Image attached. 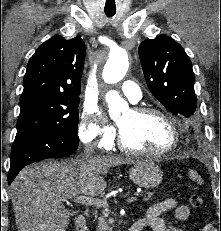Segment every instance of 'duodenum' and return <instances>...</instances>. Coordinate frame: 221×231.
Segmentation results:
<instances>
[{
  "label": "duodenum",
  "instance_id": "410a0bca",
  "mask_svg": "<svg viewBox=\"0 0 221 231\" xmlns=\"http://www.w3.org/2000/svg\"><path fill=\"white\" fill-rule=\"evenodd\" d=\"M75 227L77 231H86L87 230V221L86 217L82 214H79L75 217L74 220ZM128 231H141V227L135 222Z\"/></svg>",
  "mask_w": 221,
  "mask_h": 231
}]
</instances>
